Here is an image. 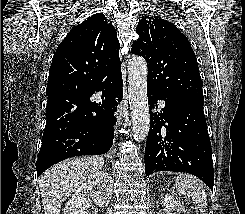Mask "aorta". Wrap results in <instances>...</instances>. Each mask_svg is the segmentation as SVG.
Wrapping results in <instances>:
<instances>
[{"label":"aorta","mask_w":245,"mask_h":214,"mask_svg":"<svg viewBox=\"0 0 245 214\" xmlns=\"http://www.w3.org/2000/svg\"><path fill=\"white\" fill-rule=\"evenodd\" d=\"M128 96L135 141L145 140L150 128L147 97V64L141 56H133L128 64Z\"/></svg>","instance_id":"762f6f07"}]
</instances>
